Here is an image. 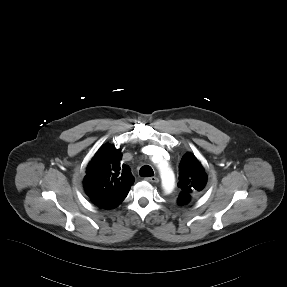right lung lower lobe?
<instances>
[{
    "label": "right lung lower lobe",
    "mask_w": 287,
    "mask_h": 287,
    "mask_svg": "<svg viewBox=\"0 0 287 287\" xmlns=\"http://www.w3.org/2000/svg\"><path fill=\"white\" fill-rule=\"evenodd\" d=\"M119 205V204H118ZM117 205H113V206H109V207H101V206H99V207H101V208H104V209H112V208H114V207H116Z\"/></svg>",
    "instance_id": "obj_1"
}]
</instances>
